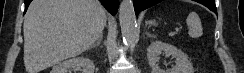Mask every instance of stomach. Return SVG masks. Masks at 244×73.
Masks as SVG:
<instances>
[{"instance_id":"obj_1","label":"stomach","mask_w":244,"mask_h":73,"mask_svg":"<svg viewBox=\"0 0 244 73\" xmlns=\"http://www.w3.org/2000/svg\"><path fill=\"white\" fill-rule=\"evenodd\" d=\"M148 23L151 25H156V22L154 20H150V21H148Z\"/></svg>"}]
</instances>
